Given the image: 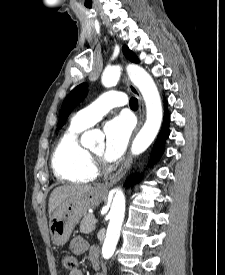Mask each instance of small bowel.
<instances>
[{"label":"small bowel","mask_w":225,"mask_h":275,"mask_svg":"<svg viewBox=\"0 0 225 275\" xmlns=\"http://www.w3.org/2000/svg\"><path fill=\"white\" fill-rule=\"evenodd\" d=\"M70 249L74 254H83L89 251L90 256H95L97 258V251L95 248H89L87 242L81 237H75L70 244ZM66 275H83L81 270L76 269L75 271H71Z\"/></svg>","instance_id":"1"}]
</instances>
